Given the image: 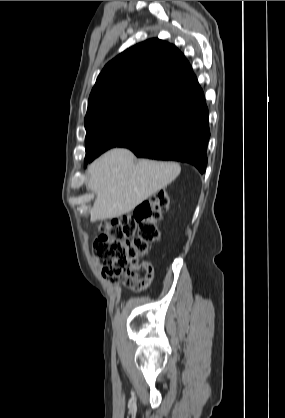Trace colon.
Wrapping results in <instances>:
<instances>
[{
	"label": "colon",
	"instance_id": "obj_1",
	"mask_svg": "<svg viewBox=\"0 0 285 418\" xmlns=\"http://www.w3.org/2000/svg\"><path fill=\"white\" fill-rule=\"evenodd\" d=\"M169 207V192L160 190L122 219L100 225L93 238V252L100 261L104 278L117 283L126 268L140 265L141 259L149 254L152 244L159 239L158 219Z\"/></svg>",
	"mask_w": 285,
	"mask_h": 418
}]
</instances>
